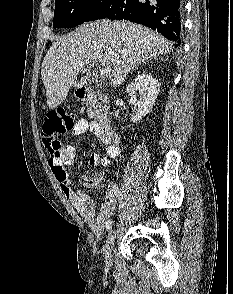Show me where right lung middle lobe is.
<instances>
[{"label": "right lung middle lobe", "instance_id": "dd1d6c3e", "mask_svg": "<svg viewBox=\"0 0 233 294\" xmlns=\"http://www.w3.org/2000/svg\"><path fill=\"white\" fill-rule=\"evenodd\" d=\"M118 0H55L53 27L71 28L105 18Z\"/></svg>", "mask_w": 233, "mask_h": 294}]
</instances>
